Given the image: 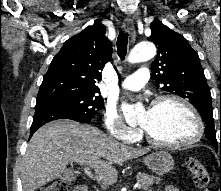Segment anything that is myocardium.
<instances>
[{
	"label": "myocardium",
	"instance_id": "myocardium-1",
	"mask_svg": "<svg viewBox=\"0 0 221 191\" xmlns=\"http://www.w3.org/2000/svg\"><path fill=\"white\" fill-rule=\"evenodd\" d=\"M166 101H175L182 106H184L193 116L195 122H196V133L195 135L184 142L180 143H170V142H165L158 140L154 138L150 133H148L145 129L141 128V132L146 139V141L151 144L152 146L159 147V148H166V149H183V148H188L195 143L199 142L203 135H204V122L202 120V117L198 110L192 105L188 100L185 98L175 95V94H163L158 96L157 98L154 99V101L151 104V109H154L158 107L160 104Z\"/></svg>",
	"mask_w": 221,
	"mask_h": 191
}]
</instances>
